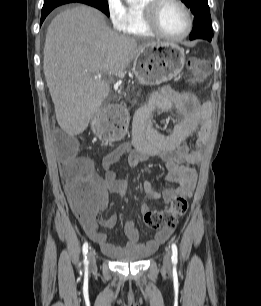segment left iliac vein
<instances>
[{"instance_id": "left-iliac-vein-1", "label": "left iliac vein", "mask_w": 261, "mask_h": 306, "mask_svg": "<svg viewBox=\"0 0 261 306\" xmlns=\"http://www.w3.org/2000/svg\"><path fill=\"white\" fill-rule=\"evenodd\" d=\"M172 253L170 249H167L163 258V266L165 269L169 270L172 266Z\"/></svg>"}]
</instances>
